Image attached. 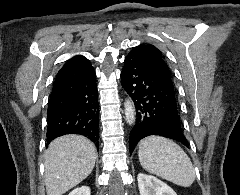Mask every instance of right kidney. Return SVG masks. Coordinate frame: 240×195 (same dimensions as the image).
Returning a JSON list of instances; mask_svg holds the SVG:
<instances>
[{
  "label": "right kidney",
  "mask_w": 240,
  "mask_h": 195,
  "mask_svg": "<svg viewBox=\"0 0 240 195\" xmlns=\"http://www.w3.org/2000/svg\"><path fill=\"white\" fill-rule=\"evenodd\" d=\"M68 195H90V187L88 185H81V187L72 189Z\"/></svg>",
  "instance_id": "right-kidney-1"
}]
</instances>
